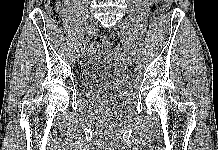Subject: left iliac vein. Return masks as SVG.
Instances as JSON below:
<instances>
[{
    "instance_id": "obj_1",
    "label": "left iliac vein",
    "mask_w": 218,
    "mask_h": 150,
    "mask_svg": "<svg viewBox=\"0 0 218 150\" xmlns=\"http://www.w3.org/2000/svg\"><path fill=\"white\" fill-rule=\"evenodd\" d=\"M117 27L121 32L122 38L125 43L129 42V38L127 37L130 34V26L125 20H119L117 22ZM132 58H134V53L132 49L128 50L127 62L129 65L133 64Z\"/></svg>"
}]
</instances>
